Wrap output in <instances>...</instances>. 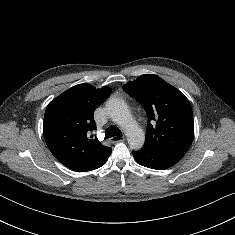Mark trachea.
Segmentation results:
<instances>
[{"instance_id":"3493384b","label":"trachea","mask_w":235,"mask_h":235,"mask_svg":"<svg viewBox=\"0 0 235 235\" xmlns=\"http://www.w3.org/2000/svg\"><path fill=\"white\" fill-rule=\"evenodd\" d=\"M114 136H122V132L116 126H110L105 131V138L107 139V138H111Z\"/></svg>"}]
</instances>
